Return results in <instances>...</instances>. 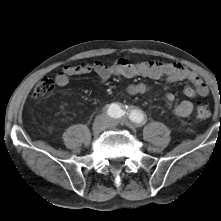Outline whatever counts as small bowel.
Listing matches in <instances>:
<instances>
[{
  "instance_id": "1",
  "label": "small bowel",
  "mask_w": 221,
  "mask_h": 221,
  "mask_svg": "<svg viewBox=\"0 0 221 221\" xmlns=\"http://www.w3.org/2000/svg\"><path fill=\"white\" fill-rule=\"evenodd\" d=\"M95 74L101 82H105L113 76L132 78L143 76L150 79L165 78L168 82L188 81L189 86L183 89L184 95L189 99L205 97L209 94V88L204 80L194 71L181 64L162 63L156 61L132 62L128 58L119 57L111 63L94 61L77 65H66L55 76V82L59 87L69 84L71 77L86 74ZM149 91V87L143 83L129 84L125 88L128 96H136ZM165 101L169 108L179 117H188L194 110L191 100H183L175 104V95L165 93Z\"/></svg>"
}]
</instances>
